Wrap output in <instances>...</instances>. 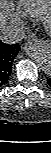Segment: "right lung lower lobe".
Masks as SVG:
<instances>
[{
    "mask_svg": "<svg viewBox=\"0 0 51 153\" xmlns=\"http://www.w3.org/2000/svg\"><path fill=\"white\" fill-rule=\"evenodd\" d=\"M20 51L19 44H5L0 40V87L5 84L12 72V62Z\"/></svg>",
    "mask_w": 51,
    "mask_h": 153,
    "instance_id": "1",
    "label": "right lung lower lobe"
}]
</instances>
